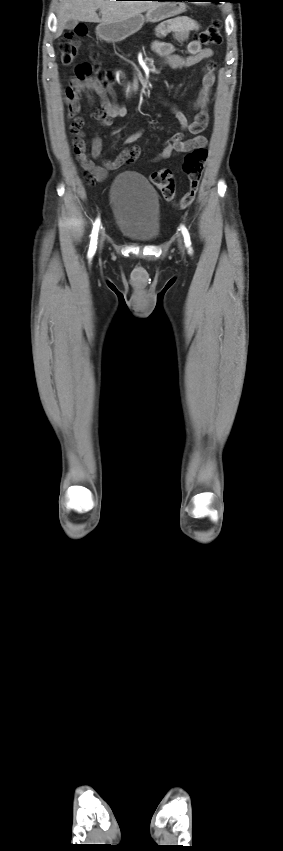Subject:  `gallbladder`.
<instances>
[{"mask_svg": "<svg viewBox=\"0 0 283 851\" xmlns=\"http://www.w3.org/2000/svg\"><path fill=\"white\" fill-rule=\"evenodd\" d=\"M76 25H77L76 20H69V21L66 22L64 28L68 29V30H72L76 27Z\"/></svg>", "mask_w": 283, "mask_h": 851, "instance_id": "gallbladder-1", "label": "gallbladder"}]
</instances>
